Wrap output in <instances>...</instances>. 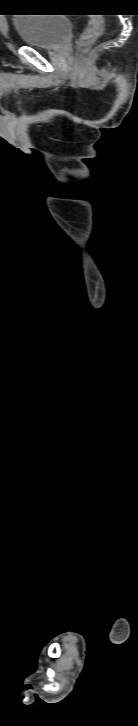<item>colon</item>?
<instances>
[{
    "mask_svg": "<svg viewBox=\"0 0 138 726\" xmlns=\"http://www.w3.org/2000/svg\"><path fill=\"white\" fill-rule=\"evenodd\" d=\"M104 32V20L101 17L95 16L90 21L88 27L85 29L78 41L79 51H84L93 41L100 37Z\"/></svg>",
    "mask_w": 138,
    "mask_h": 726,
    "instance_id": "5ec220e1",
    "label": "colon"
}]
</instances>
